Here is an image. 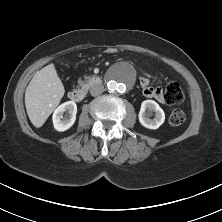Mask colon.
<instances>
[{"instance_id":"1","label":"colon","mask_w":222,"mask_h":222,"mask_svg":"<svg viewBox=\"0 0 222 222\" xmlns=\"http://www.w3.org/2000/svg\"><path fill=\"white\" fill-rule=\"evenodd\" d=\"M164 98L169 104H176L184 99V93L179 83L175 81H169L165 87ZM185 112L181 109H175L172 111L169 117V123L173 126L181 125L185 121Z\"/></svg>"}]
</instances>
